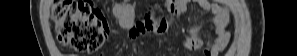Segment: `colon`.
I'll return each mask as SVG.
<instances>
[{
    "instance_id": "5ec220e1",
    "label": "colon",
    "mask_w": 297,
    "mask_h": 56,
    "mask_svg": "<svg viewBox=\"0 0 297 56\" xmlns=\"http://www.w3.org/2000/svg\"><path fill=\"white\" fill-rule=\"evenodd\" d=\"M53 20L58 41L77 52H96L104 45L109 34L104 15L88 0L56 1Z\"/></svg>"
}]
</instances>
